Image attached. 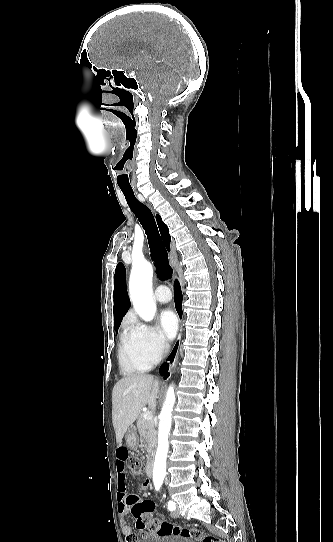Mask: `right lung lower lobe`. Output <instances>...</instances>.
Wrapping results in <instances>:
<instances>
[{
    "instance_id": "1",
    "label": "right lung lower lobe",
    "mask_w": 333,
    "mask_h": 542,
    "mask_svg": "<svg viewBox=\"0 0 333 542\" xmlns=\"http://www.w3.org/2000/svg\"><path fill=\"white\" fill-rule=\"evenodd\" d=\"M174 290H175V306H176V310H177L179 316L181 317V315H182V293H181L178 281H175ZM177 347H178V343L174 347L171 355L167 358V361H169V360L173 361V358L175 356ZM168 365H169L168 363H163L162 366L160 367V374L162 376H165V378H167L169 376Z\"/></svg>"
}]
</instances>
